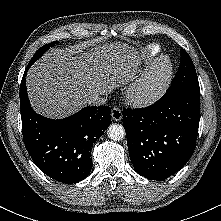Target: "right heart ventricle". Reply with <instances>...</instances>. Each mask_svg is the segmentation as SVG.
I'll list each match as a JSON object with an SVG mask.
<instances>
[{
  "mask_svg": "<svg viewBox=\"0 0 221 221\" xmlns=\"http://www.w3.org/2000/svg\"><path fill=\"white\" fill-rule=\"evenodd\" d=\"M159 51H160L159 46L157 45L151 46L149 51L150 59L153 60L155 57H157L159 55Z\"/></svg>",
  "mask_w": 221,
  "mask_h": 221,
  "instance_id": "e07e8e85",
  "label": "right heart ventricle"
}]
</instances>
